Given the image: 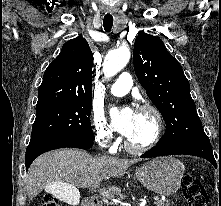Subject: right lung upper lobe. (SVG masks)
I'll list each match as a JSON object with an SVG mask.
<instances>
[{"instance_id":"cb5924a9","label":"right lung upper lobe","mask_w":221,"mask_h":206,"mask_svg":"<svg viewBox=\"0 0 221 206\" xmlns=\"http://www.w3.org/2000/svg\"><path fill=\"white\" fill-rule=\"evenodd\" d=\"M93 57L83 37L69 40L47 67L36 107L92 103Z\"/></svg>"}]
</instances>
